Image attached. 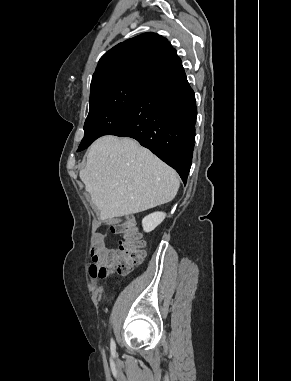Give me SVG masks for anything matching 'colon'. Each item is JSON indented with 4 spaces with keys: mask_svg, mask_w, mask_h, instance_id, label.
Returning a JSON list of instances; mask_svg holds the SVG:
<instances>
[{
    "mask_svg": "<svg viewBox=\"0 0 291 381\" xmlns=\"http://www.w3.org/2000/svg\"><path fill=\"white\" fill-rule=\"evenodd\" d=\"M109 226L111 232L120 239L117 249H107L105 246L95 249L90 273L100 278L114 271L127 275L145 256L144 240L132 219L112 220Z\"/></svg>",
    "mask_w": 291,
    "mask_h": 381,
    "instance_id": "obj_1",
    "label": "colon"
}]
</instances>
